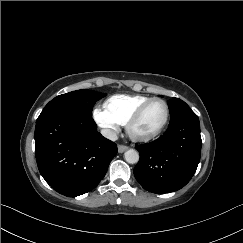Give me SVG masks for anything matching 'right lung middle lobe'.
I'll return each instance as SVG.
<instances>
[{
	"mask_svg": "<svg viewBox=\"0 0 243 243\" xmlns=\"http://www.w3.org/2000/svg\"><path fill=\"white\" fill-rule=\"evenodd\" d=\"M106 94L82 89L59 95L51 100L42 110L39 117L55 111H70L92 116L94 104Z\"/></svg>",
	"mask_w": 243,
	"mask_h": 243,
	"instance_id": "1",
	"label": "right lung middle lobe"
}]
</instances>
